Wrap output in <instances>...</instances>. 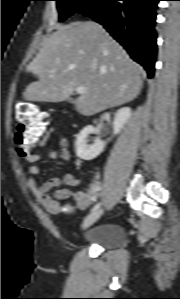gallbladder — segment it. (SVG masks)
<instances>
[{
    "mask_svg": "<svg viewBox=\"0 0 180 299\" xmlns=\"http://www.w3.org/2000/svg\"><path fill=\"white\" fill-rule=\"evenodd\" d=\"M68 101H69L70 103H73V102L75 101V99L70 98Z\"/></svg>",
    "mask_w": 180,
    "mask_h": 299,
    "instance_id": "obj_1",
    "label": "gallbladder"
}]
</instances>
